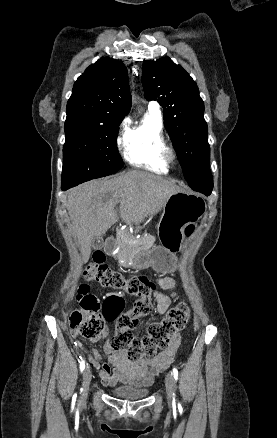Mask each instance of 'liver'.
I'll list each match as a JSON object with an SVG mask.
<instances>
[{"mask_svg":"<svg viewBox=\"0 0 277 438\" xmlns=\"http://www.w3.org/2000/svg\"><path fill=\"white\" fill-rule=\"evenodd\" d=\"M173 192L174 184L140 170H130L112 180H92L69 190L68 212L82 264L90 258L94 238L116 224L117 214L129 226L141 224L147 216L157 214Z\"/></svg>","mask_w":277,"mask_h":438,"instance_id":"liver-1","label":"liver"}]
</instances>
